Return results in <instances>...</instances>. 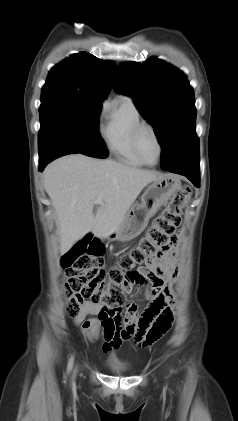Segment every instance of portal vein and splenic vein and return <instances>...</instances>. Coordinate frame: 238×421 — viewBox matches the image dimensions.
<instances>
[{
  "label": "portal vein and splenic vein",
  "instance_id": "portal-vein-and-splenic-vein-1",
  "mask_svg": "<svg viewBox=\"0 0 238 421\" xmlns=\"http://www.w3.org/2000/svg\"><path fill=\"white\" fill-rule=\"evenodd\" d=\"M95 202L101 204L102 203V197H98Z\"/></svg>",
  "mask_w": 238,
  "mask_h": 421
}]
</instances>
